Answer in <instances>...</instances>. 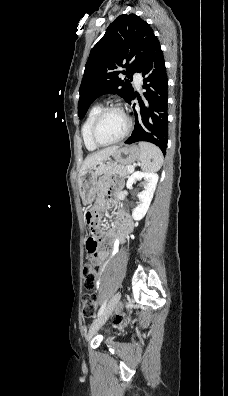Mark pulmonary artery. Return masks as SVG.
Wrapping results in <instances>:
<instances>
[{
  "label": "pulmonary artery",
  "mask_w": 228,
  "mask_h": 396,
  "mask_svg": "<svg viewBox=\"0 0 228 396\" xmlns=\"http://www.w3.org/2000/svg\"><path fill=\"white\" fill-rule=\"evenodd\" d=\"M133 77H134V84H135V86H136L137 88H140V86H141V81H142L141 75H140L139 73H135Z\"/></svg>",
  "instance_id": "1"
}]
</instances>
